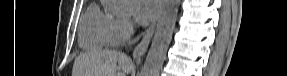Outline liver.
Returning a JSON list of instances; mask_svg holds the SVG:
<instances>
[{
	"mask_svg": "<svg viewBox=\"0 0 287 76\" xmlns=\"http://www.w3.org/2000/svg\"><path fill=\"white\" fill-rule=\"evenodd\" d=\"M118 69H122L123 75H117ZM132 69L133 63L126 54L115 50H102L77 57L73 76H125Z\"/></svg>",
	"mask_w": 287,
	"mask_h": 76,
	"instance_id": "6515ba94",
	"label": "liver"
}]
</instances>
